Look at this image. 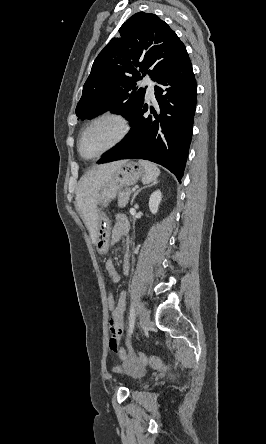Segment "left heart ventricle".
<instances>
[{
	"label": "left heart ventricle",
	"mask_w": 266,
	"mask_h": 444,
	"mask_svg": "<svg viewBox=\"0 0 266 444\" xmlns=\"http://www.w3.org/2000/svg\"><path fill=\"white\" fill-rule=\"evenodd\" d=\"M118 126L111 120H102L94 124L82 140V150L86 156H93L107 148L117 137Z\"/></svg>",
	"instance_id": "b2bd125f"
}]
</instances>
